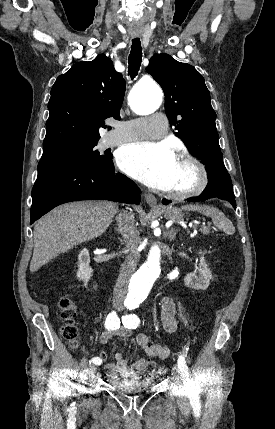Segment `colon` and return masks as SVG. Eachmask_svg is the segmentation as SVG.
Returning <instances> with one entry per match:
<instances>
[{
    "label": "colon",
    "mask_w": 275,
    "mask_h": 429,
    "mask_svg": "<svg viewBox=\"0 0 275 429\" xmlns=\"http://www.w3.org/2000/svg\"><path fill=\"white\" fill-rule=\"evenodd\" d=\"M59 307L61 309V315L64 321V326L62 329V334L64 338L68 341L71 348H76L78 345V327L76 319L78 316L77 308L75 302L68 295H63L59 300ZM148 377L151 379H157L158 369L156 364L150 361L147 365Z\"/></svg>",
    "instance_id": "colon-1"
}]
</instances>
